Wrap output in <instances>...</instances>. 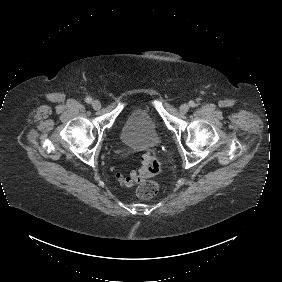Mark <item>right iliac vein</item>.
Masks as SVG:
<instances>
[{"label":"right iliac vein","instance_id":"1","mask_svg":"<svg viewBox=\"0 0 282 282\" xmlns=\"http://www.w3.org/2000/svg\"><path fill=\"white\" fill-rule=\"evenodd\" d=\"M92 107H93V109H95V110H99V109L101 108V103H100L98 100H94V101L92 102Z\"/></svg>","mask_w":282,"mask_h":282}]
</instances>
